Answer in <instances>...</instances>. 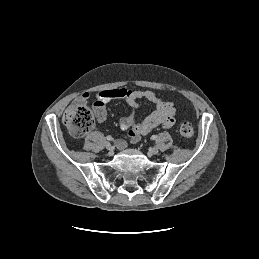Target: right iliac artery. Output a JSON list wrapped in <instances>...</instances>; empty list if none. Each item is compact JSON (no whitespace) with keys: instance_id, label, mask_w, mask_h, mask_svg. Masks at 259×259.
<instances>
[{"instance_id":"right-iliac-artery-1","label":"right iliac artery","mask_w":259,"mask_h":259,"mask_svg":"<svg viewBox=\"0 0 259 259\" xmlns=\"http://www.w3.org/2000/svg\"><path fill=\"white\" fill-rule=\"evenodd\" d=\"M106 139H107L108 141H111L113 138H112L110 135H108V136L106 137Z\"/></svg>"}]
</instances>
